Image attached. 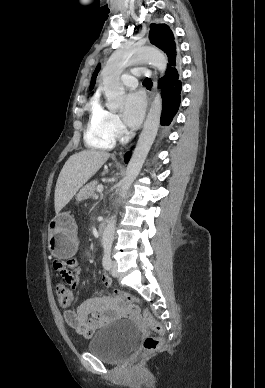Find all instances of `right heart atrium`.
Segmentation results:
<instances>
[{
    "mask_svg": "<svg viewBox=\"0 0 265 388\" xmlns=\"http://www.w3.org/2000/svg\"><path fill=\"white\" fill-rule=\"evenodd\" d=\"M105 127L106 130L114 137H120L126 133V128L120 117L109 111H106Z\"/></svg>",
    "mask_w": 265,
    "mask_h": 388,
    "instance_id": "right-heart-atrium-1",
    "label": "right heart atrium"
}]
</instances>
